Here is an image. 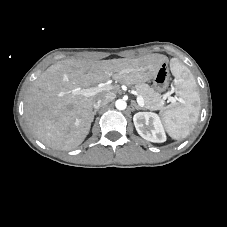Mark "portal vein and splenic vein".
I'll return each instance as SVG.
<instances>
[{"mask_svg":"<svg viewBox=\"0 0 227 227\" xmlns=\"http://www.w3.org/2000/svg\"><path fill=\"white\" fill-rule=\"evenodd\" d=\"M112 89V86L111 85H98L96 87H92V88H87V89H83L81 91V94L83 96H86V97H90V96H94L102 91H109ZM170 101H175V99L173 97H170L169 98ZM137 103L143 107L144 106V99L143 97L140 95V94H137Z\"/></svg>","mask_w":227,"mask_h":227,"instance_id":"portal-vein-and-splenic-vein-1","label":"portal vein and splenic vein"}]
</instances>
